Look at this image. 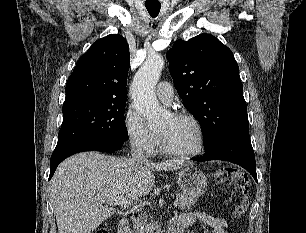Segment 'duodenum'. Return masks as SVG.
Segmentation results:
<instances>
[{
    "label": "duodenum",
    "mask_w": 306,
    "mask_h": 233,
    "mask_svg": "<svg viewBox=\"0 0 306 233\" xmlns=\"http://www.w3.org/2000/svg\"><path fill=\"white\" fill-rule=\"evenodd\" d=\"M118 233H131L129 222L126 218L120 219ZM170 233H182V227L179 225H170Z\"/></svg>",
    "instance_id": "duodenum-1"
}]
</instances>
